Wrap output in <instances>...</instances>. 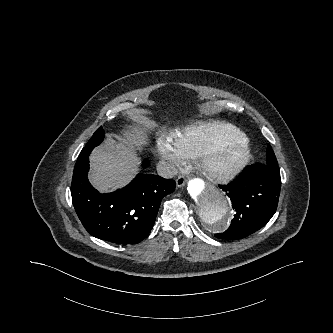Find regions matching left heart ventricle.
<instances>
[{
    "mask_svg": "<svg viewBox=\"0 0 333 333\" xmlns=\"http://www.w3.org/2000/svg\"><path fill=\"white\" fill-rule=\"evenodd\" d=\"M236 155V147L231 148L229 151L222 152L216 159L219 166H225L230 163Z\"/></svg>",
    "mask_w": 333,
    "mask_h": 333,
    "instance_id": "b2bd125f",
    "label": "left heart ventricle"
}]
</instances>
